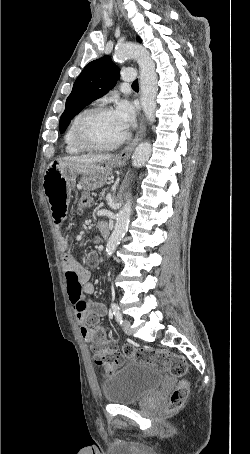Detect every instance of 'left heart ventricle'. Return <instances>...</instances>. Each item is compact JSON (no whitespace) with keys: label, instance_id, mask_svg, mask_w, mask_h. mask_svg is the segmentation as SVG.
Returning a JSON list of instances; mask_svg holds the SVG:
<instances>
[{"label":"left heart ventricle","instance_id":"b2bd125f","mask_svg":"<svg viewBox=\"0 0 250 454\" xmlns=\"http://www.w3.org/2000/svg\"><path fill=\"white\" fill-rule=\"evenodd\" d=\"M126 130L119 124L113 111L91 117L84 126L83 135L93 144L107 145L120 139Z\"/></svg>","mask_w":250,"mask_h":454}]
</instances>
